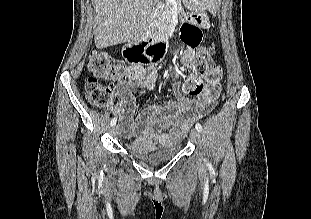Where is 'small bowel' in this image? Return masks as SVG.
Instances as JSON below:
<instances>
[{"label":"small bowel","instance_id":"c3829d8e","mask_svg":"<svg viewBox=\"0 0 311 219\" xmlns=\"http://www.w3.org/2000/svg\"><path fill=\"white\" fill-rule=\"evenodd\" d=\"M184 44L186 50L182 61L188 64L195 56L197 45L187 41ZM158 74L155 65L145 67L134 63L130 66L126 80L119 84L121 101L112 106L111 111L120 117L124 137H135L139 141L166 146L180 141L192 122L215 105L221 91V70L216 68L210 72L207 88L197 96L182 93L180 82L175 79L172 84L175 95L173 99L144 108L134 119L135 98L128 82L134 81L138 87L153 89Z\"/></svg>","mask_w":311,"mask_h":219}]
</instances>
